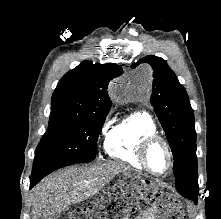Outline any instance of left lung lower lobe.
Returning <instances> with one entry per match:
<instances>
[{
  "mask_svg": "<svg viewBox=\"0 0 221 219\" xmlns=\"http://www.w3.org/2000/svg\"><path fill=\"white\" fill-rule=\"evenodd\" d=\"M198 197H194L192 200H194L195 203H197Z\"/></svg>",
  "mask_w": 221,
  "mask_h": 219,
  "instance_id": "0a47b994",
  "label": "left lung lower lobe"
}]
</instances>
